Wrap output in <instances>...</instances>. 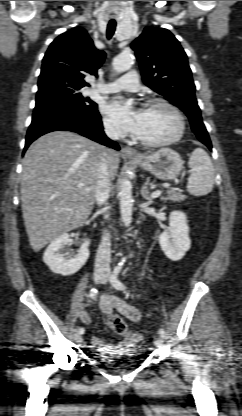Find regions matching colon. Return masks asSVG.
Here are the masks:
<instances>
[{
	"label": "colon",
	"instance_id": "1",
	"mask_svg": "<svg viewBox=\"0 0 242 416\" xmlns=\"http://www.w3.org/2000/svg\"><path fill=\"white\" fill-rule=\"evenodd\" d=\"M108 327L112 332L122 336L127 341L134 342L141 339L140 334L130 331L124 319L118 315H112L109 318Z\"/></svg>",
	"mask_w": 242,
	"mask_h": 416
}]
</instances>
